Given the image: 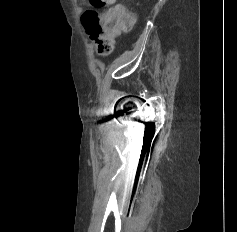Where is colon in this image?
I'll return each instance as SVG.
<instances>
[{"mask_svg": "<svg viewBox=\"0 0 237 232\" xmlns=\"http://www.w3.org/2000/svg\"><path fill=\"white\" fill-rule=\"evenodd\" d=\"M94 7L82 15V24L90 39L96 44L100 55L112 52L116 37L123 31L132 29L135 23L134 15L120 4L110 7L104 12L95 8L113 5L116 0H89Z\"/></svg>", "mask_w": 237, "mask_h": 232, "instance_id": "5ec220e1", "label": "colon"}]
</instances>
